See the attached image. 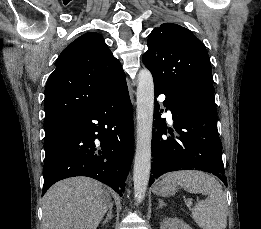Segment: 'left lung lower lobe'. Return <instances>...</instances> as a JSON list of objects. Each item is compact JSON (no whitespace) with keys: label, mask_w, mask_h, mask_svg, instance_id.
Listing matches in <instances>:
<instances>
[{"label":"left lung lower lobe","mask_w":261,"mask_h":229,"mask_svg":"<svg viewBox=\"0 0 261 229\" xmlns=\"http://www.w3.org/2000/svg\"><path fill=\"white\" fill-rule=\"evenodd\" d=\"M155 97L166 95L164 105L170 109L174 129L167 135V124L161 118L155 99L152 148L155 154L149 186L162 174L196 169L218 176L225 185L227 178L222 162V144L217 131L215 101L192 92L171 91L154 83Z\"/></svg>","instance_id":"left-lung-lower-lobe-1"}]
</instances>
